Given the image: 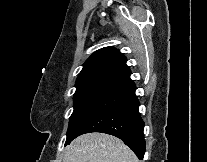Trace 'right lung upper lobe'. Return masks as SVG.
<instances>
[{
	"label": "right lung upper lobe",
	"mask_w": 207,
	"mask_h": 162,
	"mask_svg": "<svg viewBox=\"0 0 207 162\" xmlns=\"http://www.w3.org/2000/svg\"><path fill=\"white\" fill-rule=\"evenodd\" d=\"M130 74L126 57L115 48L105 47L84 63L75 86L77 89L93 86L117 88L130 80Z\"/></svg>",
	"instance_id": "1"
}]
</instances>
